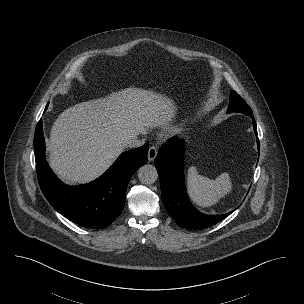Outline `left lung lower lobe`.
<instances>
[{"label": "left lung lower lobe", "instance_id": "1", "mask_svg": "<svg viewBox=\"0 0 304 304\" xmlns=\"http://www.w3.org/2000/svg\"><path fill=\"white\" fill-rule=\"evenodd\" d=\"M253 119L254 131L257 126ZM259 150V140L257 136ZM183 141L174 137L166 142L154 160L158 171L162 200L168 214L180 227L207 228L226 218L232 212L222 215H205L197 211L190 203L184 184L183 172Z\"/></svg>", "mask_w": 304, "mask_h": 304}]
</instances>
